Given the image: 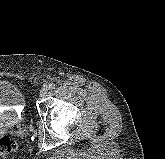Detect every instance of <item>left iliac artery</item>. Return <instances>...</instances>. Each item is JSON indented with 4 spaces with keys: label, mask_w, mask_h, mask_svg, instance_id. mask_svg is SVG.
Masks as SVG:
<instances>
[{
    "label": "left iliac artery",
    "mask_w": 165,
    "mask_h": 159,
    "mask_svg": "<svg viewBox=\"0 0 165 159\" xmlns=\"http://www.w3.org/2000/svg\"><path fill=\"white\" fill-rule=\"evenodd\" d=\"M48 86H49V89H54L55 88V83L51 82Z\"/></svg>",
    "instance_id": "obj_1"
}]
</instances>
